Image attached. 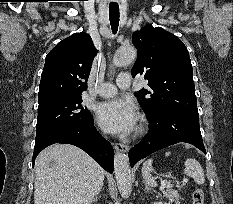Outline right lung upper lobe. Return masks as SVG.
I'll return each instance as SVG.
<instances>
[{
    "mask_svg": "<svg viewBox=\"0 0 233 204\" xmlns=\"http://www.w3.org/2000/svg\"><path fill=\"white\" fill-rule=\"evenodd\" d=\"M96 54L92 39L85 32L74 33L60 41L46 56L38 101L81 95L87 89Z\"/></svg>",
    "mask_w": 233,
    "mask_h": 204,
    "instance_id": "cb5924a9",
    "label": "right lung upper lobe"
}]
</instances>
